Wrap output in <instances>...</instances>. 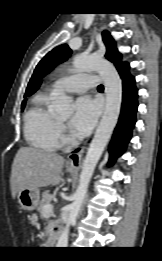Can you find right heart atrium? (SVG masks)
Segmentation results:
<instances>
[{
    "label": "right heart atrium",
    "instance_id": "obj_1",
    "mask_svg": "<svg viewBox=\"0 0 162 261\" xmlns=\"http://www.w3.org/2000/svg\"><path fill=\"white\" fill-rule=\"evenodd\" d=\"M58 134H59L61 143H64L65 141H67L71 138L67 128L62 123H59Z\"/></svg>",
    "mask_w": 162,
    "mask_h": 261
}]
</instances>
